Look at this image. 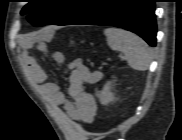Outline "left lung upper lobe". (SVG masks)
Masks as SVG:
<instances>
[{
    "label": "left lung upper lobe",
    "mask_w": 182,
    "mask_h": 140,
    "mask_svg": "<svg viewBox=\"0 0 182 140\" xmlns=\"http://www.w3.org/2000/svg\"><path fill=\"white\" fill-rule=\"evenodd\" d=\"M102 0H29L21 14L35 26L69 25L91 11Z\"/></svg>",
    "instance_id": "1"
}]
</instances>
